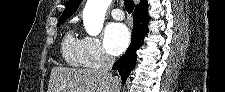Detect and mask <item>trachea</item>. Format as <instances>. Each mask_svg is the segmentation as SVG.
I'll list each match as a JSON object with an SVG mask.
<instances>
[{
  "label": "trachea",
  "mask_w": 225,
  "mask_h": 92,
  "mask_svg": "<svg viewBox=\"0 0 225 92\" xmlns=\"http://www.w3.org/2000/svg\"><path fill=\"white\" fill-rule=\"evenodd\" d=\"M125 10L130 14L134 9V1L133 0H124Z\"/></svg>",
  "instance_id": "3493384b"
}]
</instances>
